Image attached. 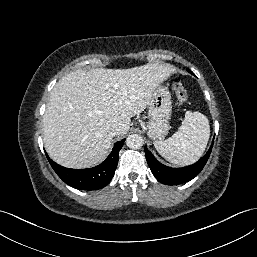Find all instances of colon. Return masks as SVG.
Here are the masks:
<instances>
[{
  "mask_svg": "<svg viewBox=\"0 0 257 257\" xmlns=\"http://www.w3.org/2000/svg\"><path fill=\"white\" fill-rule=\"evenodd\" d=\"M173 90L180 102H185L187 100V90L183 85L182 80L179 77H174L172 80Z\"/></svg>",
  "mask_w": 257,
  "mask_h": 257,
  "instance_id": "1",
  "label": "colon"
}]
</instances>
